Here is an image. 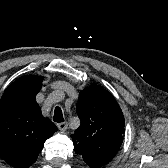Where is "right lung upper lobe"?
I'll return each instance as SVG.
<instances>
[{"instance_id":"obj_1","label":"right lung upper lobe","mask_w":168,"mask_h":168,"mask_svg":"<svg viewBox=\"0 0 168 168\" xmlns=\"http://www.w3.org/2000/svg\"><path fill=\"white\" fill-rule=\"evenodd\" d=\"M42 77L24 76L11 83L0 100V157L14 168H28L57 127L41 114L35 97Z\"/></svg>"}]
</instances>
